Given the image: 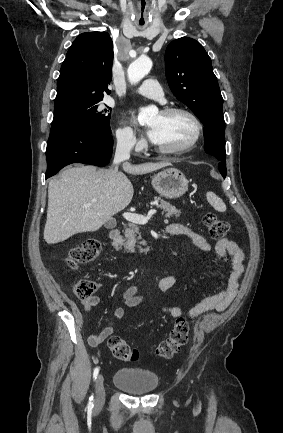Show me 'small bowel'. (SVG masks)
Returning <instances> with one entry per match:
<instances>
[{
	"mask_svg": "<svg viewBox=\"0 0 283 433\" xmlns=\"http://www.w3.org/2000/svg\"><path fill=\"white\" fill-rule=\"evenodd\" d=\"M167 232L172 235H184L189 237L193 241L194 245L202 251H209L212 248L202 235L185 225L179 223L170 224L167 227ZM214 250L218 257L229 266V271L222 274V278L226 282V287L221 292L206 297L186 311H183L177 306H164L162 308L163 311L173 317L186 315L193 319L198 315L212 309L223 311L230 305L238 292L240 280L244 273V253L235 241L228 239L217 241L214 246ZM206 269H212V267L207 266ZM196 271L197 270H192L181 276L170 275L163 277L158 281L157 289L161 292L168 291L175 287L182 280L194 274ZM123 300L127 307H135L143 301V297L139 294L138 287L133 285L126 289L123 295ZM99 303L100 298L97 295H92L87 299L81 300L83 312L89 319L93 318L94 309ZM124 315L125 309L123 307L116 308L113 312V318L109 324L99 333H92L89 336V344L93 347L102 344L112 335L115 325L117 322L123 319ZM76 318L79 323L83 322V316L81 313H77Z\"/></svg>",
	"mask_w": 283,
	"mask_h": 433,
	"instance_id": "c3829d8e",
	"label": "small bowel"
}]
</instances>
